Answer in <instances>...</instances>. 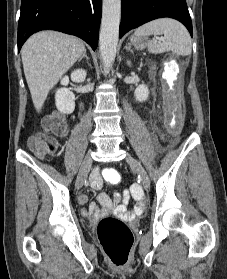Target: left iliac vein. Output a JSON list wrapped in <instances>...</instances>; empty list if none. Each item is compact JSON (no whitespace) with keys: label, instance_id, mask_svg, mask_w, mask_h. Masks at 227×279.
Masks as SVG:
<instances>
[{"label":"left iliac vein","instance_id":"obj_1","mask_svg":"<svg viewBox=\"0 0 227 279\" xmlns=\"http://www.w3.org/2000/svg\"><path fill=\"white\" fill-rule=\"evenodd\" d=\"M125 160L129 164V166L134 170V172L137 173L138 176L141 178L142 186L145 189H149L150 179L142 164L137 159L132 157L130 154H127Z\"/></svg>","mask_w":227,"mask_h":279}]
</instances>
